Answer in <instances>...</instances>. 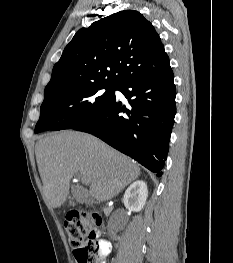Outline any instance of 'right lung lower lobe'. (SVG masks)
Segmentation results:
<instances>
[{"label": "right lung lower lobe", "mask_w": 233, "mask_h": 263, "mask_svg": "<svg viewBox=\"0 0 233 263\" xmlns=\"http://www.w3.org/2000/svg\"><path fill=\"white\" fill-rule=\"evenodd\" d=\"M116 89L128 98V108L114 97L73 129L99 137L160 176L176 113L171 67L160 74L131 79Z\"/></svg>", "instance_id": "1"}]
</instances>
